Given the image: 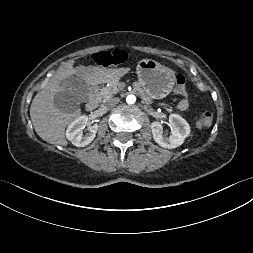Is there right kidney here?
<instances>
[{"label":"right kidney","mask_w":253,"mask_h":253,"mask_svg":"<svg viewBox=\"0 0 253 253\" xmlns=\"http://www.w3.org/2000/svg\"><path fill=\"white\" fill-rule=\"evenodd\" d=\"M88 125L87 117L80 116L76 118L67 128L66 137L76 147H85L90 144L97 133L98 124H93L88 127V133L83 134V129Z\"/></svg>","instance_id":"obj_1"}]
</instances>
